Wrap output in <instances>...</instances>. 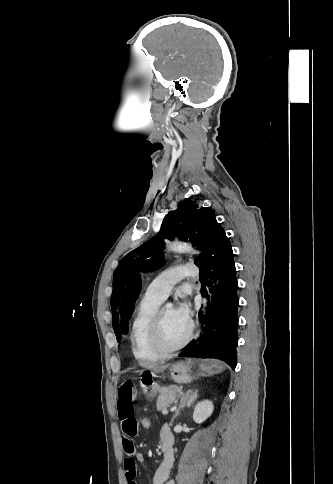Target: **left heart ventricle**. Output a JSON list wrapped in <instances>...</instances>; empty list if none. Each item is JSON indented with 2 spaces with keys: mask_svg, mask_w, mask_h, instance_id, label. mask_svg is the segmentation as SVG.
Masks as SVG:
<instances>
[{
  "mask_svg": "<svg viewBox=\"0 0 333 484\" xmlns=\"http://www.w3.org/2000/svg\"><path fill=\"white\" fill-rule=\"evenodd\" d=\"M189 326L176 315L174 309L165 308L163 312V337L167 346L179 344L187 335Z\"/></svg>",
  "mask_w": 333,
  "mask_h": 484,
  "instance_id": "left-heart-ventricle-1",
  "label": "left heart ventricle"
}]
</instances>
